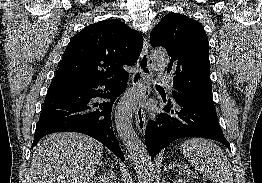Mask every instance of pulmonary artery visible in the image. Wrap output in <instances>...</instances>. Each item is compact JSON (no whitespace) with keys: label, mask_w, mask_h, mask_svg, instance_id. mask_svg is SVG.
<instances>
[{"label":"pulmonary artery","mask_w":262,"mask_h":183,"mask_svg":"<svg viewBox=\"0 0 262 183\" xmlns=\"http://www.w3.org/2000/svg\"><path fill=\"white\" fill-rule=\"evenodd\" d=\"M159 80L164 83L169 89H172L173 85H172V80L170 77H166V76H161L159 78Z\"/></svg>","instance_id":"obj_1"}]
</instances>
